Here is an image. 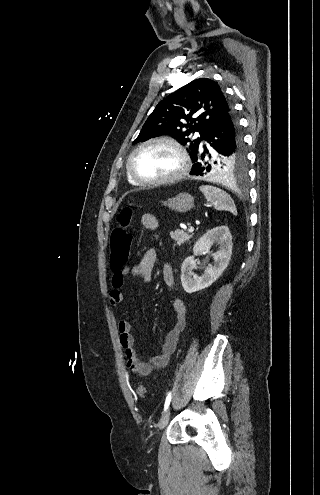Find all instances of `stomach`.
Instances as JSON below:
<instances>
[{
	"label": "stomach",
	"mask_w": 320,
	"mask_h": 495,
	"mask_svg": "<svg viewBox=\"0 0 320 495\" xmlns=\"http://www.w3.org/2000/svg\"><path fill=\"white\" fill-rule=\"evenodd\" d=\"M163 205L174 211L184 213L193 208L194 198L188 193H180L177 196L164 201Z\"/></svg>",
	"instance_id": "stomach-1"
}]
</instances>
